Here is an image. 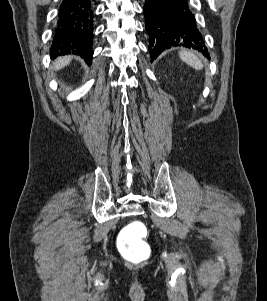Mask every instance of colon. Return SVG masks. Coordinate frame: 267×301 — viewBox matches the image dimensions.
Listing matches in <instances>:
<instances>
[{"instance_id": "colon-1", "label": "colon", "mask_w": 267, "mask_h": 301, "mask_svg": "<svg viewBox=\"0 0 267 301\" xmlns=\"http://www.w3.org/2000/svg\"><path fill=\"white\" fill-rule=\"evenodd\" d=\"M146 225L139 220L132 221L123 228L118 240L121 255L128 261L139 264L150 257V247L145 241Z\"/></svg>"}]
</instances>
